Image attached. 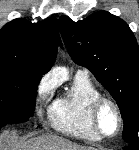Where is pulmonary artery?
Instances as JSON below:
<instances>
[{"instance_id": "1", "label": "pulmonary artery", "mask_w": 139, "mask_h": 150, "mask_svg": "<svg viewBox=\"0 0 139 150\" xmlns=\"http://www.w3.org/2000/svg\"><path fill=\"white\" fill-rule=\"evenodd\" d=\"M77 74H78V75H86V76H88V71H87V70H84V69H83V70H78V71H77Z\"/></svg>"}]
</instances>
